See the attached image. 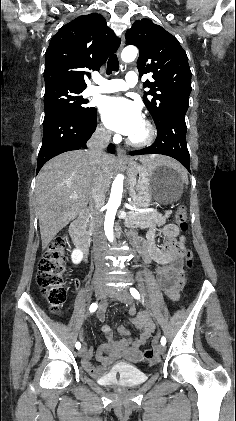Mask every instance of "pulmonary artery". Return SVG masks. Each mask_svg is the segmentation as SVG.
I'll return each mask as SVG.
<instances>
[{"label":"pulmonary artery","mask_w":236,"mask_h":421,"mask_svg":"<svg viewBox=\"0 0 236 421\" xmlns=\"http://www.w3.org/2000/svg\"><path fill=\"white\" fill-rule=\"evenodd\" d=\"M137 75L135 70H130L124 79H113L102 84L90 86L85 91V96H92L99 93H112L124 91L134 87L137 84Z\"/></svg>","instance_id":"e3ab8cb5"}]
</instances>
